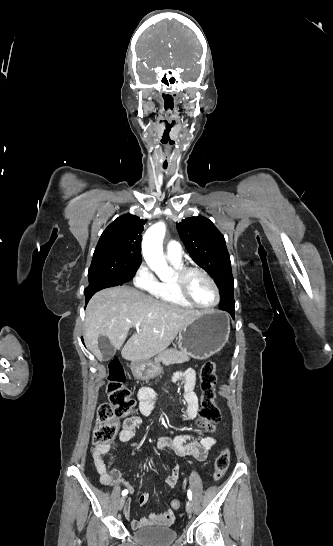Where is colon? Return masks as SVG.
I'll return each mask as SVG.
<instances>
[{
	"instance_id": "1",
	"label": "colon",
	"mask_w": 333,
	"mask_h": 546,
	"mask_svg": "<svg viewBox=\"0 0 333 546\" xmlns=\"http://www.w3.org/2000/svg\"><path fill=\"white\" fill-rule=\"evenodd\" d=\"M217 367L215 362L207 361L200 370L201 409L197 421L198 427L211 433L214 424L220 420V410L215 403V384ZM108 402L102 404L97 413V422L93 433V444L107 445L112 443L120 429L121 420L135 413V401L130 389L126 386V376L118 359H112L108 364ZM230 463V452L223 449L214 462L213 478L219 481L227 471ZM177 510L181 502L174 499L171 502Z\"/></svg>"
}]
</instances>
